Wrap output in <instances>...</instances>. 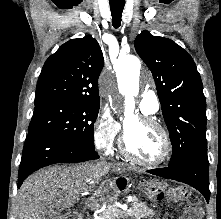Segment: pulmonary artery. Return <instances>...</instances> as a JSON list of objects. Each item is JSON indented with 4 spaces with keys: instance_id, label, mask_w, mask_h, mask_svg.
<instances>
[{
    "instance_id": "e3ab8cb5",
    "label": "pulmonary artery",
    "mask_w": 221,
    "mask_h": 219,
    "mask_svg": "<svg viewBox=\"0 0 221 219\" xmlns=\"http://www.w3.org/2000/svg\"><path fill=\"white\" fill-rule=\"evenodd\" d=\"M139 105L145 114H154L159 109L157 96L152 91H145L141 94Z\"/></svg>"
}]
</instances>
